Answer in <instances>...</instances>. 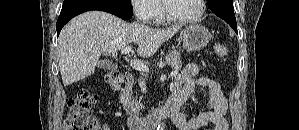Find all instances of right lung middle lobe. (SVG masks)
Returning <instances> with one entry per match:
<instances>
[{"label": "right lung middle lobe", "mask_w": 299, "mask_h": 130, "mask_svg": "<svg viewBox=\"0 0 299 130\" xmlns=\"http://www.w3.org/2000/svg\"><path fill=\"white\" fill-rule=\"evenodd\" d=\"M123 2L130 3V0H122Z\"/></svg>", "instance_id": "right-lung-middle-lobe-1"}]
</instances>
